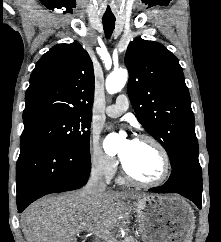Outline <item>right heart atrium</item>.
<instances>
[{"mask_svg":"<svg viewBox=\"0 0 221 242\" xmlns=\"http://www.w3.org/2000/svg\"><path fill=\"white\" fill-rule=\"evenodd\" d=\"M88 157L93 170L105 178L115 175L119 165L118 158L105 152L95 134H92L89 141Z\"/></svg>","mask_w":221,"mask_h":242,"instance_id":"d8ad5b80","label":"right heart atrium"}]
</instances>
